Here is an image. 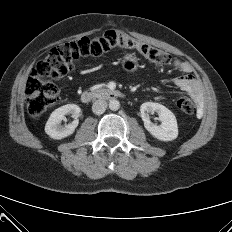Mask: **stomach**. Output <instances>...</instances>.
<instances>
[{
	"mask_svg": "<svg viewBox=\"0 0 232 232\" xmlns=\"http://www.w3.org/2000/svg\"><path fill=\"white\" fill-rule=\"evenodd\" d=\"M122 63L123 67L130 71H134L138 67V59L135 56L125 57Z\"/></svg>",
	"mask_w": 232,
	"mask_h": 232,
	"instance_id": "stomach-1",
	"label": "stomach"
}]
</instances>
